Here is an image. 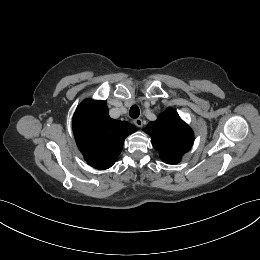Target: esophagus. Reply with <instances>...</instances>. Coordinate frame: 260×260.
I'll return each instance as SVG.
<instances>
[{"label":"esophagus","mask_w":260,"mask_h":260,"mask_svg":"<svg viewBox=\"0 0 260 260\" xmlns=\"http://www.w3.org/2000/svg\"><path fill=\"white\" fill-rule=\"evenodd\" d=\"M133 123L137 126V127H142L143 126V121L141 118H137L133 120Z\"/></svg>","instance_id":"34e87169"}]
</instances>
